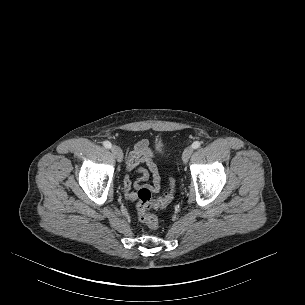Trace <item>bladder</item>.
I'll return each instance as SVG.
<instances>
[{
    "label": "bladder",
    "instance_id": "bladder-1",
    "mask_svg": "<svg viewBox=\"0 0 305 305\" xmlns=\"http://www.w3.org/2000/svg\"><path fill=\"white\" fill-rule=\"evenodd\" d=\"M155 151H156V154L160 157H164L166 155V149H165V146L162 141H159L156 144Z\"/></svg>",
    "mask_w": 305,
    "mask_h": 305
}]
</instances>
